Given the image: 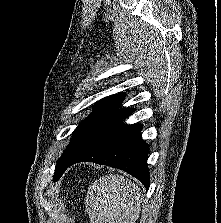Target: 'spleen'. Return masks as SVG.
Here are the masks:
<instances>
[{
    "instance_id": "3e777b00",
    "label": "spleen",
    "mask_w": 221,
    "mask_h": 223,
    "mask_svg": "<svg viewBox=\"0 0 221 223\" xmlns=\"http://www.w3.org/2000/svg\"><path fill=\"white\" fill-rule=\"evenodd\" d=\"M140 189L119 175L96 180L85 197L90 223H135L140 214Z\"/></svg>"
}]
</instances>
